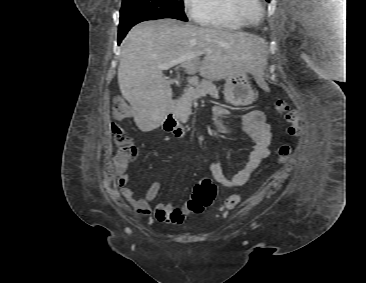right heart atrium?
Masks as SVG:
<instances>
[{"mask_svg": "<svg viewBox=\"0 0 366 283\" xmlns=\"http://www.w3.org/2000/svg\"><path fill=\"white\" fill-rule=\"evenodd\" d=\"M206 0H182L185 12L188 16L198 21L204 11Z\"/></svg>", "mask_w": 366, "mask_h": 283, "instance_id": "obj_1", "label": "right heart atrium"}]
</instances>
